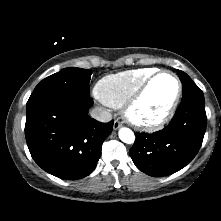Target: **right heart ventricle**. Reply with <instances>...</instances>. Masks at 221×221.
I'll list each match as a JSON object with an SVG mask.
<instances>
[{
    "label": "right heart ventricle",
    "instance_id": "e07e8e85",
    "mask_svg": "<svg viewBox=\"0 0 221 221\" xmlns=\"http://www.w3.org/2000/svg\"><path fill=\"white\" fill-rule=\"evenodd\" d=\"M154 72L155 68L147 67L107 75L97 82L95 94L104 104L120 108Z\"/></svg>",
    "mask_w": 221,
    "mask_h": 221
}]
</instances>
